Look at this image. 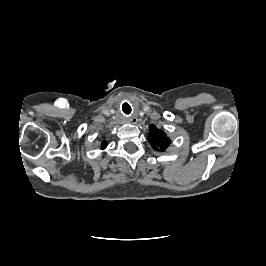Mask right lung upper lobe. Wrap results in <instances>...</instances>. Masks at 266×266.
I'll use <instances>...</instances> for the list:
<instances>
[{
    "mask_svg": "<svg viewBox=\"0 0 266 266\" xmlns=\"http://www.w3.org/2000/svg\"><path fill=\"white\" fill-rule=\"evenodd\" d=\"M106 146H107V142H103V144H102V146H101V149L106 148Z\"/></svg>",
    "mask_w": 266,
    "mask_h": 266,
    "instance_id": "obj_1",
    "label": "right lung upper lobe"
}]
</instances>
